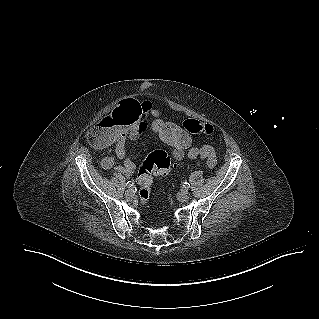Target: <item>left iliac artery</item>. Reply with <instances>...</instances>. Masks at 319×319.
I'll use <instances>...</instances> for the list:
<instances>
[{"mask_svg":"<svg viewBox=\"0 0 319 319\" xmlns=\"http://www.w3.org/2000/svg\"><path fill=\"white\" fill-rule=\"evenodd\" d=\"M189 187H190V184L187 182H184L182 185V188H184V189H188Z\"/></svg>","mask_w":319,"mask_h":319,"instance_id":"1","label":"left iliac artery"}]
</instances>
